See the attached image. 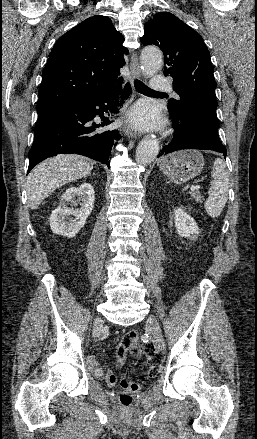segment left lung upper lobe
Masks as SVG:
<instances>
[{"mask_svg": "<svg viewBox=\"0 0 257 439\" xmlns=\"http://www.w3.org/2000/svg\"><path fill=\"white\" fill-rule=\"evenodd\" d=\"M140 41L163 51L164 74L173 78V89L180 97L168 101L169 113L200 112L218 122L213 66L202 37L175 15L159 12L145 23Z\"/></svg>", "mask_w": 257, "mask_h": 439, "instance_id": "5c2ea615", "label": "left lung upper lobe"}]
</instances>
